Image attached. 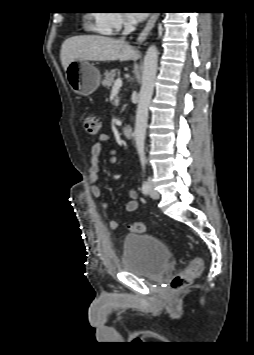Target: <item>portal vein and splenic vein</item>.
Returning a JSON list of instances; mask_svg holds the SVG:
<instances>
[{
  "instance_id": "obj_1",
  "label": "portal vein and splenic vein",
  "mask_w": 254,
  "mask_h": 355,
  "mask_svg": "<svg viewBox=\"0 0 254 355\" xmlns=\"http://www.w3.org/2000/svg\"><path fill=\"white\" fill-rule=\"evenodd\" d=\"M121 87H122V80L118 78V79L114 82V85H113V87H112V91H118Z\"/></svg>"
}]
</instances>
